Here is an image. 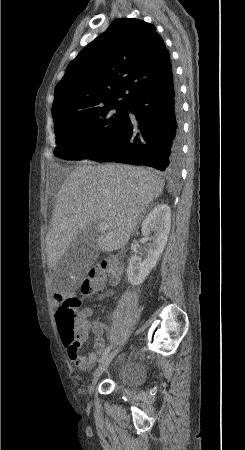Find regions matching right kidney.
I'll return each instance as SVG.
<instances>
[{"mask_svg": "<svg viewBox=\"0 0 245 450\" xmlns=\"http://www.w3.org/2000/svg\"><path fill=\"white\" fill-rule=\"evenodd\" d=\"M171 227V210L168 205L162 203L157 205L144 219L142 223V234L151 241L146 259L139 256L130 258L127 268V277L134 286H139L150 271L156 266L162 254ZM153 232V236L149 237Z\"/></svg>", "mask_w": 245, "mask_h": 450, "instance_id": "1", "label": "right kidney"}]
</instances>
